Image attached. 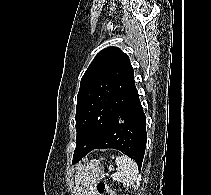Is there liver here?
Returning <instances> with one entry per match:
<instances>
[{
	"label": "liver",
	"instance_id": "6515ba94",
	"mask_svg": "<svg viewBox=\"0 0 211 195\" xmlns=\"http://www.w3.org/2000/svg\"><path fill=\"white\" fill-rule=\"evenodd\" d=\"M85 166H82L78 169L77 175L75 177V184L78 191H80V185L82 182L83 171L85 170Z\"/></svg>",
	"mask_w": 211,
	"mask_h": 195
}]
</instances>
